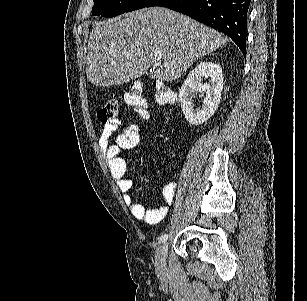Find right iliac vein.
<instances>
[{
	"label": "right iliac vein",
	"instance_id": "1",
	"mask_svg": "<svg viewBox=\"0 0 307 301\" xmlns=\"http://www.w3.org/2000/svg\"><path fill=\"white\" fill-rule=\"evenodd\" d=\"M167 250H168L167 242H163L157 250L155 256V267L158 271L164 270L166 268Z\"/></svg>",
	"mask_w": 307,
	"mask_h": 301
}]
</instances>
